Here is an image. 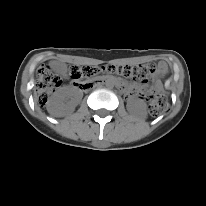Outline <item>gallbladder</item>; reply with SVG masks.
Wrapping results in <instances>:
<instances>
[{
	"instance_id": "1",
	"label": "gallbladder",
	"mask_w": 206,
	"mask_h": 206,
	"mask_svg": "<svg viewBox=\"0 0 206 206\" xmlns=\"http://www.w3.org/2000/svg\"><path fill=\"white\" fill-rule=\"evenodd\" d=\"M59 65L54 66V71L58 72Z\"/></svg>"
}]
</instances>
